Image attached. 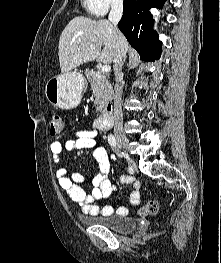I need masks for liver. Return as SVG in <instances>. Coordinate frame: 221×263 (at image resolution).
<instances>
[{"instance_id":"liver-1","label":"liver","mask_w":221,"mask_h":263,"mask_svg":"<svg viewBox=\"0 0 221 263\" xmlns=\"http://www.w3.org/2000/svg\"><path fill=\"white\" fill-rule=\"evenodd\" d=\"M123 38L122 55L126 58L128 43L124 36ZM116 41L117 31L108 20H94L84 16L74 17L64 28L59 39L58 54L61 72H69L95 59L106 64L112 63Z\"/></svg>"}]
</instances>
